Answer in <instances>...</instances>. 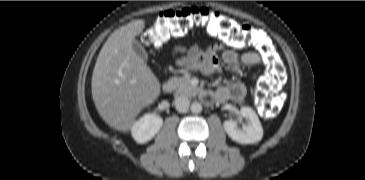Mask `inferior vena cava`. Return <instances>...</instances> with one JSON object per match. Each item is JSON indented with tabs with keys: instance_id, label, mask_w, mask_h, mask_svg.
<instances>
[{
	"instance_id": "1",
	"label": "inferior vena cava",
	"mask_w": 365,
	"mask_h": 180,
	"mask_svg": "<svg viewBox=\"0 0 365 180\" xmlns=\"http://www.w3.org/2000/svg\"><path fill=\"white\" fill-rule=\"evenodd\" d=\"M190 106V101L187 96L180 95L175 98L176 110L180 113L187 112Z\"/></svg>"
}]
</instances>
